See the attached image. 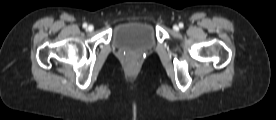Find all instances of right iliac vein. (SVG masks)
I'll return each mask as SVG.
<instances>
[{
	"instance_id": "1",
	"label": "right iliac vein",
	"mask_w": 276,
	"mask_h": 120,
	"mask_svg": "<svg viewBox=\"0 0 276 120\" xmlns=\"http://www.w3.org/2000/svg\"><path fill=\"white\" fill-rule=\"evenodd\" d=\"M93 29H94V27L92 25H89L88 28H87V30L90 31V32L93 31Z\"/></svg>"
}]
</instances>
